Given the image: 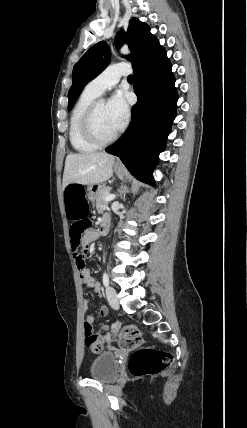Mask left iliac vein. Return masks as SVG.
<instances>
[{
    "label": "left iliac vein",
    "mask_w": 247,
    "mask_h": 428,
    "mask_svg": "<svg viewBox=\"0 0 247 428\" xmlns=\"http://www.w3.org/2000/svg\"><path fill=\"white\" fill-rule=\"evenodd\" d=\"M106 297H107V300H108L110 306L113 309L119 308V302H118L117 294H116V291L113 287L108 286L106 288Z\"/></svg>",
    "instance_id": "1"
}]
</instances>
